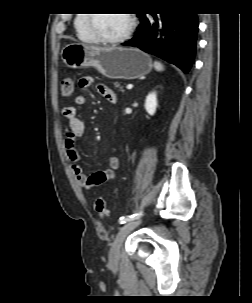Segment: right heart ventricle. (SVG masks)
Returning <instances> with one entry per match:
<instances>
[{
  "label": "right heart ventricle",
  "mask_w": 252,
  "mask_h": 303,
  "mask_svg": "<svg viewBox=\"0 0 252 303\" xmlns=\"http://www.w3.org/2000/svg\"><path fill=\"white\" fill-rule=\"evenodd\" d=\"M75 27L77 29L78 34L81 37L91 39L92 38V33L89 29V24H88V16H84L83 14H79L75 21H74Z\"/></svg>",
  "instance_id": "obj_1"
}]
</instances>
